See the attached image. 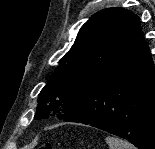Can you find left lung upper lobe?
Listing matches in <instances>:
<instances>
[{"label":"left lung upper lobe","mask_w":155,"mask_h":149,"mask_svg":"<svg viewBox=\"0 0 155 149\" xmlns=\"http://www.w3.org/2000/svg\"><path fill=\"white\" fill-rule=\"evenodd\" d=\"M138 23L136 14L122 8H108L94 14L81 27L74 45L41 90L34 119L56 114L64 120L70 116L114 62Z\"/></svg>","instance_id":"left-lung-upper-lobe-1"}]
</instances>
